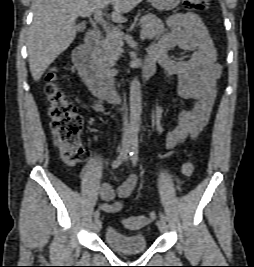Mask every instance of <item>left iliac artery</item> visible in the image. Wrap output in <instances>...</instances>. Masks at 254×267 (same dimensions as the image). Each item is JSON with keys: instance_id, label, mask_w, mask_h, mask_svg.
Returning <instances> with one entry per match:
<instances>
[{"instance_id": "44dca946", "label": "left iliac artery", "mask_w": 254, "mask_h": 267, "mask_svg": "<svg viewBox=\"0 0 254 267\" xmlns=\"http://www.w3.org/2000/svg\"><path fill=\"white\" fill-rule=\"evenodd\" d=\"M138 154H139L138 141L134 140L132 141V147H131V152H130L131 161L134 166H136L137 164ZM159 216L162 220L166 221V216L162 212L159 213Z\"/></svg>"}]
</instances>
